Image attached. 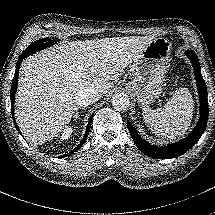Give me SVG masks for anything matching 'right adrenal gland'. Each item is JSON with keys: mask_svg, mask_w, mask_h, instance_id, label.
I'll use <instances>...</instances> for the list:
<instances>
[{"mask_svg": "<svg viewBox=\"0 0 215 215\" xmlns=\"http://www.w3.org/2000/svg\"><path fill=\"white\" fill-rule=\"evenodd\" d=\"M79 114H80V113H79V111L77 110L76 113H75V115H74V120H75V121L77 120Z\"/></svg>", "mask_w": 215, "mask_h": 215, "instance_id": "2a0ac1e0", "label": "right adrenal gland"}]
</instances>
